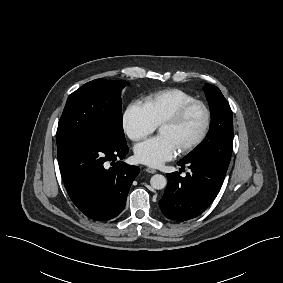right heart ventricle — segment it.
<instances>
[{
    "instance_id": "1",
    "label": "right heart ventricle",
    "mask_w": 283,
    "mask_h": 283,
    "mask_svg": "<svg viewBox=\"0 0 283 283\" xmlns=\"http://www.w3.org/2000/svg\"><path fill=\"white\" fill-rule=\"evenodd\" d=\"M195 97L180 88H169L149 94L144 105L156 125L175 113L182 105Z\"/></svg>"
}]
</instances>
